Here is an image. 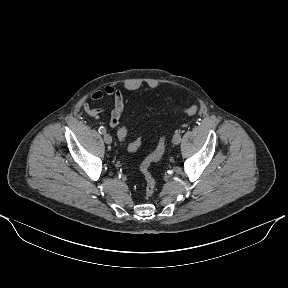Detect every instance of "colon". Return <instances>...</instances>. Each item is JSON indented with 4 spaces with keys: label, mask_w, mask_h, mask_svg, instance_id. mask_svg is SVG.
<instances>
[{
    "label": "colon",
    "mask_w": 288,
    "mask_h": 288,
    "mask_svg": "<svg viewBox=\"0 0 288 288\" xmlns=\"http://www.w3.org/2000/svg\"><path fill=\"white\" fill-rule=\"evenodd\" d=\"M182 112L186 115H194L198 111V107L196 105H191L188 107H184L181 109ZM127 136V130L125 127H123L120 131V134L118 136L119 140L121 142H124ZM164 138L162 137L156 147V149L148 155L142 162L141 169L145 177L146 187H145V193L146 196L150 197L153 195L156 187V180L154 176L151 173L150 167L151 164L154 162H157L163 155L164 149H165V142ZM141 145V138H137L133 142L129 143L127 145V149L129 151H135L137 150Z\"/></svg>",
    "instance_id": "obj_1"
}]
</instances>
